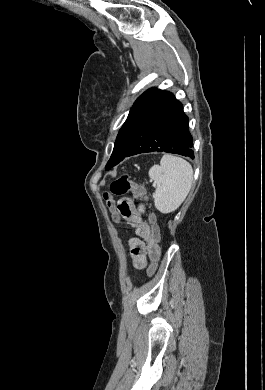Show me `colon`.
<instances>
[{"label":"colon","mask_w":265,"mask_h":390,"mask_svg":"<svg viewBox=\"0 0 265 390\" xmlns=\"http://www.w3.org/2000/svg\"><path fill=\"white\" fill-rule=\"evenodd\" d=\"M128 193H131L135 198L143 199L145 197V188L142 185L131 181L127 175H122L116 180H114L110 185V192L105 193V198L108 202V206L110 210L114 213L115 219H118V215L115 213L116 208L114 206V203L110 199L109 194L123 196ZM149 221L152 227V234L147 241V253L151 261V264L148 268V273L153 274L157 269L161 255L159 247L160 233L157 225L155 224V219L153 215L149 216Z\"/></svg>","instance_id":"obj_1"}]
</instances>
